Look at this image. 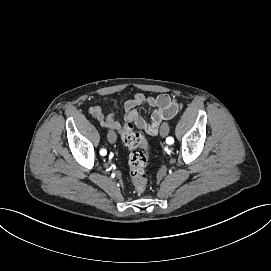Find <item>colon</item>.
<instances>
[{"mask_svg": "<svg viewBox=\"0 0 271 271\" xmlns=\"http://www.w3.org/2000/svg\"><path fill=\"white\" fill-rule=\"evenodd\" d=\"M124 145L131 150L128 164L130 179L134 190L143 193L147 188L145 168L149 158V145L147 139L140 132L134 130V125L128 123L121 136Z\"/></svg>", "mask_w": 271, "mask_h": 271, "instance_id": "colon-1", "label": "colon"}]
</instances>
